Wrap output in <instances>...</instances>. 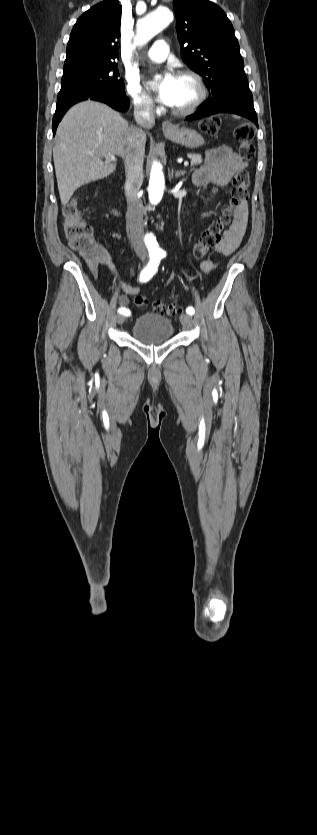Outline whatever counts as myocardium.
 <instances>
[{
	"label": "myocardium",
	"instance_id": "1",
	"mask_svg": "<svg viewBox=\"0 0 317 835\" xmlns=\"http://www.w3.org/2000/svg\"><path fill=\"white\" fill-rule=\"evenodd\" d=\"M178 77L191 80L196 88V96L188 106L183 108L171 107V112L174 115L187 116L194 113L205 101L207 88L202 77L192 70H183L179 73Z\"/></svg>",
	"mask_w": 317,
	"mask_h": 835
}]
</instances>
